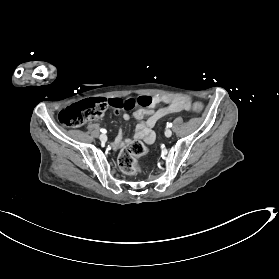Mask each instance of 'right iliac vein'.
Masks as SVG:
<instances>
[{"instance_id":"1","label":"right iliac vein","mask_w":279,"mask_h":279,"mask_svg":"<svg viewBox=\"0 0 279 279\" xmlns=\"http://www.w3.org/2000/svg\"><path fill=\"white\" fill-rule=\"evenodd\" d=\"M101 142H106L107 141V136L105 134H101L99 137Z\"/></svg>"}]
</instances>
